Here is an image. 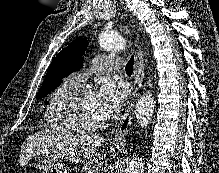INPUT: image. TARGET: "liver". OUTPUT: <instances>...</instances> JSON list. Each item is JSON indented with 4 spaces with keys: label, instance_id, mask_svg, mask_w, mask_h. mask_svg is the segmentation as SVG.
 I'll return each instance as SVG.
<instances>
[{
    "label": "liver",
    "instance_id": "1",
    "mask_svg": "<svg viewBox=\"0 0 219 173\" xmlns=\"http://www.w3.org/2000/svg\"><path fill=\"white\" fill-rule=\"evenodd\" d=\"M60 139L46 132L29 136L21 146L20 165L24 166L32 156L49 154L65 157L71 162L84 163L83 170L89 173L101 169L103 156L98 153V149L104 143V138L96 135H71Z\"/></svg>",
    "mask_w": 219,
    "mask_h": 173
}]
</instances>
